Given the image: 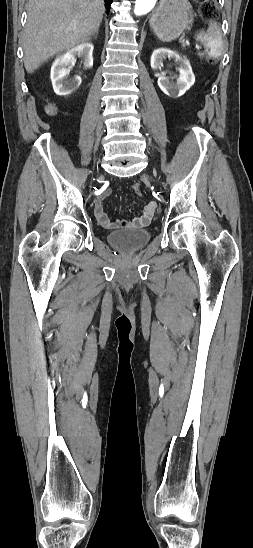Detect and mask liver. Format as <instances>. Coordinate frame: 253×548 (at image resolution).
Here are the masks:
<instances>
[{
  "label": "liver",
  "mask_w": 253,
  "mask_h": 548,
  "mask_svg": "<svg viewBox=\"0 0 253 548\" xmlns=\"http://www.w3.org/2000/svg\"><path fill=\"white\" fill-rule=\"evenodd\" d=\"M104 11L103 0H29L23 33L26 71L31 74L50 57L88 41Z\"/></svg>",
  "instance_id": "1"
}]
</instances>
